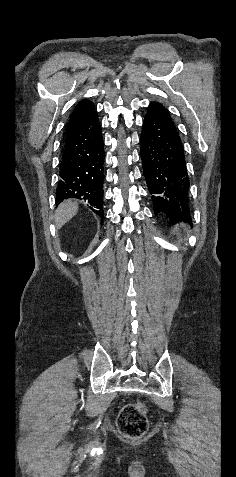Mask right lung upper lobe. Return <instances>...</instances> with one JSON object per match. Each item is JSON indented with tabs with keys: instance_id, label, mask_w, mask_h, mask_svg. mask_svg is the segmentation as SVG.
<instances>
[{
	"instance_id": "obj_1",
	"label": "right lung upper lobe",
	"mask_w": 236,
	"mask_h": 477,
	"mask_svg": "<svg viewBox=\"0 0 236 477\" xmlns=\"http://www.w3.org/2000/svg\"><path fill=\"white\" fill-rule=\"evenodd\" d=\"M95 111L96 110L94 109L92 102L89 100L80 101L69 119L66 128V135L81 127Z\"/></svg>"
}]
</instances>
